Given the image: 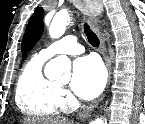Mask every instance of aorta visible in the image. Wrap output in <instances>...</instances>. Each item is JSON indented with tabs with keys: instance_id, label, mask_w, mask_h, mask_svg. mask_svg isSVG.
Here are the masks:
<instances>
[{
	"instance_id": "1",
	"label": "aorta",
	"mask_w": 145,
	"mask_h": 124,
	"mask_svg": "<svg viewBox=\"0 0 145 124\" xmlns=\"http://www.w3.org/2000/svg\"><path fill=\"white\" fill-rule=\"evenodd\" d=\"M68 20V14L63 12L54 16L49 27V34L52 39H58L65 33ZM70 69V59L67 56H58L46 64L44 74L49 80L60 78L61 81L66 82L71 77ZM91 124H105V122L103 119L97 118Z\"/></svg>"
}]
</instances>
